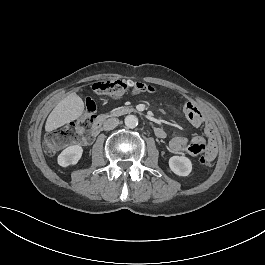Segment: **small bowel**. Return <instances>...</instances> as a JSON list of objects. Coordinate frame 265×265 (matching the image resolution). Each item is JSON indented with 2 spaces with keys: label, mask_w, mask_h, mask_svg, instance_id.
<instances>
[{
  "label": "small bowel",
  "mask_w": 265,
  "mask_h": 265,
  "mask_svg": "<svg viewBox=\"0 0 265 265\" xmlns=\"http://www.w3.org/2000/svg\"><path fill=\"white\" fill-rule=\"evenodd\" d=\"M183 112L192 125L199 127L206 125V132L209 138L208 143L200 136L186 138L174 136L169 141V148L177 153H187L191 156L204 154L212 162L217 155L216 136L212 123L202 113V111L192 102H186L183 106Z\"/></svg>",
  "instance_id": "c3829d8e"
}]
</instances>
